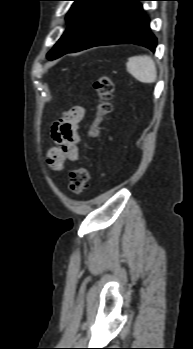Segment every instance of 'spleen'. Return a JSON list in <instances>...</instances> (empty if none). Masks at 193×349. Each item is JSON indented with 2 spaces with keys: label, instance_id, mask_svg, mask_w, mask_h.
<instances>
[{
  "label": "spleen",
  "instance_id": "spleen-1",
  "mask_svg": "<svg viewBox=\"0 0 193 349\" xmlns=\"http://www.w3.org/2000/svg\"><path fill=\"white\" fill-rule=\"evenodd\" d=\"M126 67L127 71L140 82L153 83L157 79L156 65L148 55L130 57Z\"/></svg>",
  "mask_w": 193,
  "mask_h": 349
}]
</instances>
